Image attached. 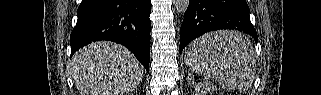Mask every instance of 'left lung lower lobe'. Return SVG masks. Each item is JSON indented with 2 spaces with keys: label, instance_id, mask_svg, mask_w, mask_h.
I'll use <instances>...</instances> for the list:
<instances>
[{
  "label": "left lung lower lobe",
  "instance_id": "0a47b994",
  "mask_svg": "<svg viewBox=\"0 0 321 95\" xmlns=\"http://www.w3.org/2000/svg\"><path fill=\"white\" fill-rule=\"evenodd\" d=\"M246 0H190L180 33V53L193 39L209 31L232 29L257 41Z\"/></svg>",
  "mask_w": 321,
  "mask_h": 95
}]
</instances>
